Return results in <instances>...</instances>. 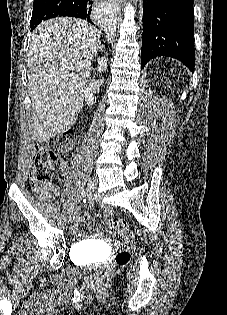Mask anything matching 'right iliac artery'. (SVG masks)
I'll return each instance as SVG.
<instances>
[{"label":"right iliac artery","instance_id":"right-iliac-artery-1","mask_svg":"<svg viewBox=\"0 0 227 315\" xmlns=\"http://www.w3.org/2000/svg\"><path fill=\"white\" fill-rule=\"evenodd\" d=\"M86 196V191L85 190H82V192L79 194L78 198L76 199V201L71 205V207L69 208L68 210V213H73L76 205L81 201V200H84Z\"/></svg>","mask_w":227,"mask_h":315}]
</instances>
